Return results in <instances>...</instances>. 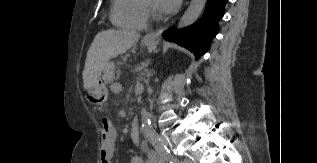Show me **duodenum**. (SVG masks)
<instances>
[{
	"instance_id": "duodenum-1",
	"label": "duodenum",
	"mask_w": 317,
	"mask_h": 163,
	"mask_svg": "<svg viewBox=\"0 0 317 163\" xmlns=\"http://www.w3.org/2000/svg\"><path fill=\"white\" fill-rule=\"evenodd\" d=\"M131 139L134 143H139L141 139V134H140V129H139V124L137 120H133L131 124Z\"/></svg>"
}]
</instances>
